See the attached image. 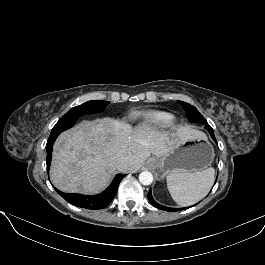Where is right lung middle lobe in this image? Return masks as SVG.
Instances as JSON below:
<instances>
[{"label":"right lung middle lobe","instance_id":"right-lung-middle-lobe-1","mask_svg":"<svg viewBox=\"0 0 265 265\" xmlns=\"http://www.w3.org/2000/svg\"><path fill=\"white\" fill-rule=\"evenodd\" d=\"M109 103L108 101H88L69 110L57 123L62 124L70 118H79L84 114L102 112Z\"/></svg>","mask_w":265,"mask_h":265}]
</instances>
